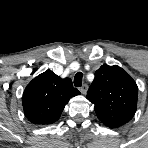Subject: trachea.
Returning a JSON list of instances; mask_svg holds the SVG:
<instances>
[{
    "instance_id": "trachea-1",
    "label": "trachea",
    "mask_w": 148,
    "mask_h": 148,
    "mask_svg": "<svg viewBox=\"0 0 148 148\" xmlns=\"http://www.w3.org/2000/svg\"><path fill=\"white\" fill-rule=\"evenodd\" d=\"M82 80H83V73H81V72L76 73V75L74 77V85L76 87H81L82 86Z\"/></svg>"
}]
</instances>
